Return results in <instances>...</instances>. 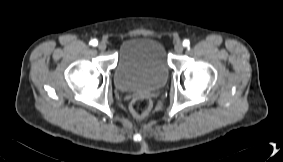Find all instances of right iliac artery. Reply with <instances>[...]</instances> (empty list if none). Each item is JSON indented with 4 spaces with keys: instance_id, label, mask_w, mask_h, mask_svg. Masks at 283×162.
<instances>
[{
    "instance_id": "obj_1",
    "label": "right iliac artery",
    "mask_w": 283,
    "mask_h": 162,
    "mask_svg": "<svg viewBox=\"0 0 283 162\" xmlns=\"http://www.w3.org/2000/svg\"><path fill=\"white\" fill-rule=\"evenodd\" d=\"M90 44H91L92 46H97L98 41H97L96 39H93V40L90 42Z\"/></svg>"
}]
</instances>
